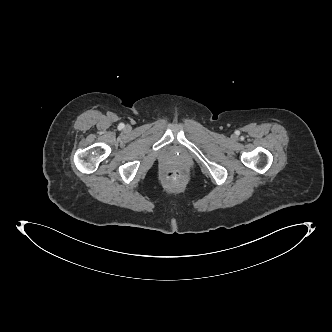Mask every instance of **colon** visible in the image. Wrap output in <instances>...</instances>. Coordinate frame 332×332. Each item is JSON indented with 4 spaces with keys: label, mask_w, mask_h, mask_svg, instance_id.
Here are the masks:
<instances>
[{
    "label": "colon",
    "mask_w": 332,
    "mask_h": 332,
    "mask_svg": "<svg viewBox=\"0 0 332 332\" xmlns=\"http://www.w3.org/2000/svg\"><path fill=\"white\" fill-rule=\"evenodd\" d=\"M164 179L169 182H182L186 179V175L180 171H169L164 174Z\"/></svg>",
    "instance_id": "obj_1"
}]
</instances>
